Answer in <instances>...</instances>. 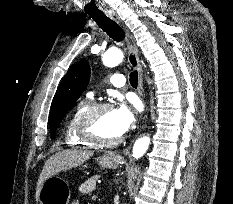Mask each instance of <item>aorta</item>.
<instances>
[{
	"instance_id": "aorta-1",
	"label": "aorta",
	"mask_w": 233,
	"mask_h": 204,
	"mask_svg": "<svg viewBox=\"0 0 233 204\" xmlns=\"http://www.w3.org/2000/svg\"><path fill=\"white\" fill-rule=\"evenodd\" d=\"M124 59L123 52L118 48L109 49L102 58L103 64L107 67H115L119 65ZM150 145V138L144 136L136 140L133 146L132 155L134 158L139 159L147 151Z\"/></svg>"
}]
</instances>
